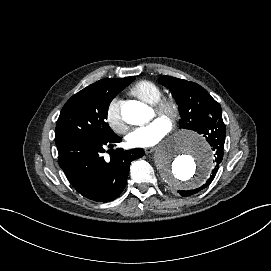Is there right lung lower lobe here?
Wrapping results in <instances>:
<instances>
[{
    "instance_id": "1",
    "label": "right lung lower lobe",
    "mask_w": 271,
    "mask_h": 271,
    "mask_svg": "<svg viewBox=\"0 0 271 271\" xmlns=\"http://www.w3.org/2000/svg\"><path fill=\"white\" fill-rule=\"evenodd\" d=\"M121 142L116 134L109 138L77 137L56 145L59 166L78 193L96 202L116 199L125 188L130 163L144 155L142 149L111 151L104 159L106 146Z\"/></svg>"
}]
</instances>
